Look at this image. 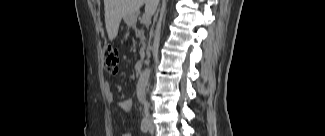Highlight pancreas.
I'll return each mask as SVG.
<instances>
[{"label": "pancreas", "mask_w": 325, "mask_h": 136, "mask_svg": "<svg viewBox=\"0 0 325 136\" xmlns=\"http://www.w3.org/2000/svg\"><path fill=\"white\" fill-rule=\"evenodd\" d=\"M135 33L137 34V36L141 39V40H146V38H145V32H146V29L145 28H142L141 30H140V24H135ZM141 31V32H140Z\"/></svg>", "instance_id": "obj_1"}]
</instances>
